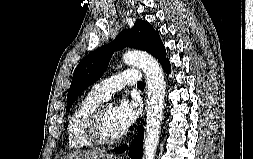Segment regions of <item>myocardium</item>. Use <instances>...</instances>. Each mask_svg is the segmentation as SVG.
Returning <instances> with one entry per match:
<instances>
[{
  "label": "myocardium",
  "instance_id": "obj_1",
  "mask_svg": "<svg viewBox=\"0 0 253 159\" xmlns=\"http://www.w3.org/2000/svg\"><path fill=\"white\" fill-rule=\"evenodd\" d=\"M107 106V103L99 104L90 116L86 125V136L89 141L96 146H112L118 144L123 139V134L118 137L109 139L102 130V115Z\"/></svg>",
  "mask_w": 253,
  "mask_h": 159
}]
</instances>
